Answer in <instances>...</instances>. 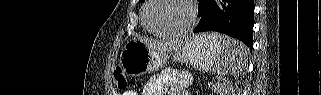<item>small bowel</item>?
<instances>
[{
    "label": "small bowel",
    "mask_w": 321,
    "mask_h": 95,
    "mask_svg": "<svg viewBox=\"0 0 321 95\" xmlns=\"http://www.w3.org/2000/svg\"><path fill=\"white\" fill-rule=\"evenodd\" d=\"M154 83H149L144 90L145 95H159L160 93H157L153 90ZM124 95H136L134 92H126Z\"/></svg>",
    "instance_id": "c3829d8e"
}]
</instances>
